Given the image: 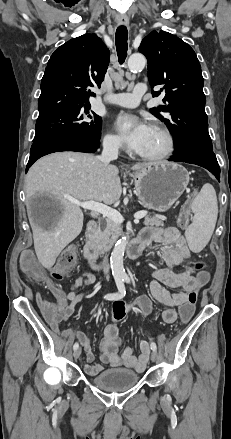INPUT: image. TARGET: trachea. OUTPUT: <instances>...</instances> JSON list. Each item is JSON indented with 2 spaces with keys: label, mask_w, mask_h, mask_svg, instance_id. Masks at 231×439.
Returning a JSON list of instances; mask_svg holds the SVG:
<instances>
[{
  "label": "trachea",
  "mask_w": 231,
  "mask_h": 439,
  "mask_svg": "<svg viewBox=\"0 0 231 439\" xmlns=\"http://www.w3.org/2000/svg\"><path fill=\"white\" fill-rule=\"evenodd\" d=\"M127 40H128L127 28L121 25L117 28L115 35L116 50L120 64L124 63L127 57V50H128Z\"/></svg>",
  "instance_id": "1"
}]
</instances>
